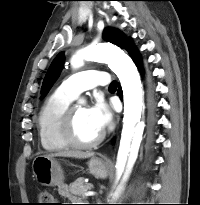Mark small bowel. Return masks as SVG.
I'll return each instance as SVG.
<instances>
[{
    "label": "small bowel",
    "instance_id": "c3829d8e",
    "mask_svg": "<svg viewBox=\"0 0 200 205\" xmlns=\"http://www.w3.org/2000/svg\"><path fill=\"white\" fill-rule=\"evenodd\" d=\"M58 191L62 196H69L68 187L64 184L58 186Z\"/></svg>",
    "mask_w": 200,
    "mask_h": 205
}]
</instances>
